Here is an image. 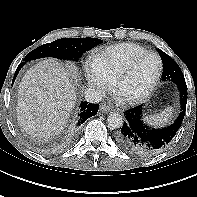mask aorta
Returning a JSON list of instances; mask_svg holds the SVG:
<instances>
[{"label":"aorta","instance_id":"obj_1","mask_svg":"<svg viewBox=\"0 0 197 197\" xmlns=\"http://www.w3.org/2000/svg\"><path fill=\"white\" fill-rule=\"evenodd\" d=\"M108 125L111 127V128H120L122 127L123 125V118L120 114L118 113H111L109 116H108Z\"/></svg>","mask_w":197,"mask_h":197}]
</instances>
